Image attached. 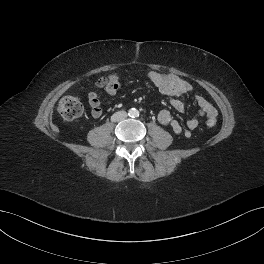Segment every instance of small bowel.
Returning a JSON list of instances; mask_svg holds the SVG:
<instances>
[{"instance_id": "small-bowel-1", "label": "small bowel", "mask_w": 264, "mask_h": 264, "mask_svg": "<svg viewBox=\"0 0 264 264\" xmlns=\"http://www.w3.org/2000/svg\"><path fill=\"white\" fill-rule=\"evenodd\" d=\"M148 81L156 86L160 93L169 98L172 106L178 111L186 109V103L182 97L193 92V87L185 80L174 74H161L157 72H150L148 74ZM96 86L102 88L107 86V79L101 78ZM109 93L111 92L107 89ZM194 99L199 108V116L207 117L208 119L217 117V110L215 107L203 96L194 95ZM88 102L91 107V115L94 118H100L103 114L101 102L96 92L88 94ZM159 122L170 128L175 134H183L185 137H190L192 132L201 124L200 118L189 119L185 126H182L168 110H162L158 114Z\"/></svg>"}]
</instances>
